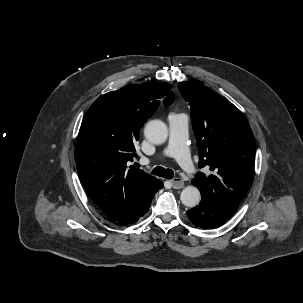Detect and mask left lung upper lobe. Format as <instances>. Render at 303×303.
Returning a JSON list of instances; mask_svg holds the SVG:
<instances>
[{
    "mask_svg": "<svg viewBox=\"0 0 303 303\" xmlns=\"http://www.w3.org/2000/svg\"><path fill=\"white\" fill-rule=\"evenodd\" d=\"M178 88L191 106V119L199 151V167L192 184L202 195L225 202L236 210L246 195L254 170L252 130L231 102L203 82H181Z\"/></svg>",
    "mask_w": 303,
    "mask_h": 303,
    "instance_id": "obj_1",
    "label": "left lung upper lobe"
}]
</instances>
